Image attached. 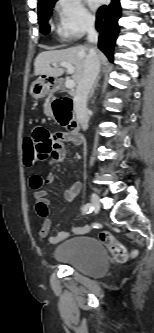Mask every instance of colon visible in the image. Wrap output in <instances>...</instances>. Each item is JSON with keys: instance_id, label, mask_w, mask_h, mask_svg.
Wrapping results in <instances>:
<instances>
[{"instance_id": "colon-1", "label": "colon", "mask_w": 154, "mask_h": 333, "mask_svg": "<svg viewBox=\"0 0 154 333\" xmlns=\"http://www.w3.org/2000/svg\"><path fill=\"white\" fill-rule=\"evenodd\" d=\"M53 109L59 123L66 127L68 131L71 119V101L68 98H58L53 102ZM23 163L30 167L36 158L35 143L31 136H27L22 142ZM100 241L109 249L113 258L118 262H125L129 258V253L125 246L120 243L115 236L108 232L102 231L99 234Z\"/></svg>"}]
</instances>
